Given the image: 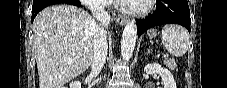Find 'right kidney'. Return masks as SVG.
Listing matches in <instances>:
<instances>
[{"mask_svg": "<svg viewBox=\"0 0 227 88\" xmlns=\"http://www.w3.org/2000/svg\"><path fill=\"white\" fill-rule=\"evenodd\" d=\"M69 87L70 88H81V82L80 81L71 82Z\"/></svg>", "mask_w": 227, "mask_h": 88, "instance_id": "ca27d5eb", "label": "right kidney"}]
</instances>
